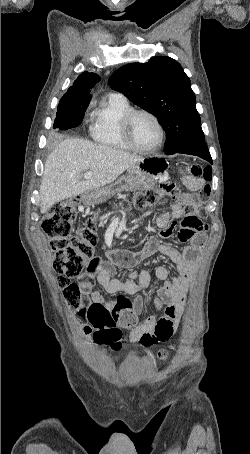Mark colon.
I'll return each instance as SVG.
<instances>
[{
  "mask_svg": "<svg viewBox=\"0 0 250 454\" xmlns=\"http://www.w3.org/2000/svg\"><path fill=\"white\" fill-rule=\"evenodd\" d=\"M186 172L195 178L211 180L212 170L209 167L189 166ZM210 195V188L204 187L201 198L206 200ZM180 196V187L176 182H165L158 187L135 194L130 200L121 203V207L128 209H145L155 205L165 198L175 199ZM76 197L55 203L43 219L42 229L49 239L53 253V268L59 274L58 284L69 308L73 311L81 306V288L72 279L77 277L89 262L94 258L95 247L98 241L97 225L94 220H88L76 233H73V223L76 216ZM199 218L206 217V210H198ZM206 225L202 224V230ZM86 316L92 325L93 340L96 343L108 345L113 350L121 348L123 334L120 328H132L133 319H120L105 305L91 304ZM167 350L159 352V358L166 359Z\"/></svg>",
  "mask_w": 250,
  "mask_h": 454,
  "instance_id": "obj_1",
  "label": "colon"
}]
</instances>
